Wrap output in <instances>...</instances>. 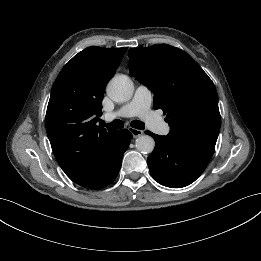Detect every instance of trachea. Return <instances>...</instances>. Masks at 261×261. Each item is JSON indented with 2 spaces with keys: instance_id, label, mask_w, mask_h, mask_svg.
<instances>
[{
  "instance_id": "1",
  "label": "trachea",
  "mask_w": 261,
  "mask_h": 261,
  "mask_svg": "<svg viewBox=\"0 0 261 261\" xmlns=\"http://www.w3.org/2000/svg\"><path fill=\"white\" fill-rule=\"evenodd\" d=\"M103 127H107L109 129H121L124 127V123L121 120H114L111 123L106 124L102 122ZM131 126L135 129H144L145 125L143 122L139 120H134L131 122Z\"/></svg>"
}]
</instances>
